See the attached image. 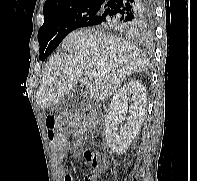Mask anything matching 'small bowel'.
I'll return each instance as SVG.
<instances>
[{"label":"small bowel","mask_w":197,"mask_h":181,"mask_svg":"<svg viewBox=\"0 0 197 181\" xmlns=\"http://www.w3.org/2000/svg\"><path fill=\"white\" fill-rule=\"evenodd\" d=\"M72 148L80 149L81 145L79 142H70L63 140L61 148L55 149L57 151L55 155V162L58 167V173L61 176V181H73L72 175L68 171H66V169L62 166V163L66 155Z\"/></svg>","instance_id":"obj_1"}]
</instances>
